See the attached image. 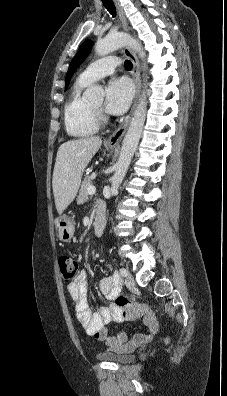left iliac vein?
I'll use <instances>...</instances> for the list:
<instances>
[{
    "label": "left iliac vein",
    "instance_id": "4c4485c4",
    "mask_svg": "<svg viewBox=\"0 0 227 396\" xmlns=\"http://www.w3.org/2000/svg\"><path fill=\"white\" fill-rule=\"evenodd\" d=\"M125 285L130 289L135 287V280L130 273L125 276Z\"/></svg>",
    "mask_w": 227,
    "mask_h": 396
}]
</instances>
